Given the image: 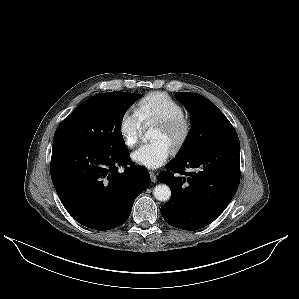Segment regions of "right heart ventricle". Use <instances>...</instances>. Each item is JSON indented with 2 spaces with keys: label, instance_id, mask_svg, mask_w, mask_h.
I'll use <instances>...</instances> for the list:
<instances>
[{
  "label": "right heart ventricle",
  "instance_id": "e07e8e85",
  "mask_svg": "<svg viewBox=\"0 0 299 299\" xmlns=\"http://www.w3.org/2000/svg\"><path fill=\"white\" fill-rule=\"evenodd\" d=\"M137 112L145 125L183 117L184 108L164 92H152L144 96L138 103Z\"/></svg>",
  "mask_w": 299,
  "mask_h": 299
}]
</instances>
